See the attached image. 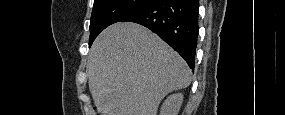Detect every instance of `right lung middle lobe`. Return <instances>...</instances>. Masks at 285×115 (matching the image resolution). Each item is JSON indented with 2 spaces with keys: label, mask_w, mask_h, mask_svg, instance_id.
Here are the masks:
<instances>
[{
  "label": "right lung middle lobe",
  "mask_w": 285,
  "mask_h": 115,
  "mask_svg": "<svg viewBox=\"0 0 285 115\" xmlns=\"http://www.w3.org/2000/svg\"><path fill=\"white\" fill-rule=\"evenodd\" d=\"M149 1L150 0H94L90 20L89 46H91L94 39L103 29Z\"/></svg>",
  "instance_id": "dd1d6c3e"
}]
</instances>
